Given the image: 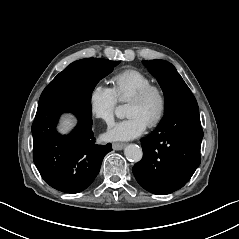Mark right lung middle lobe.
I'll list each match as a JSON object with an SVG mask.
<instances>
[{
  "instance_id": "obj_1",
  "label": "right lung middle lobe",
  "mask_w": 239,
  "mask_h": 239,
  "mask_svg": "<svg viewBox=\"0 0 239 239\" xmlns=\"http://www.w3.org/2000/svg\"><path fill=\"white\" fill-rule=\"evenodd\" d=\"M119 62L99 58H86L75 61L60 72L43 90L39 104L48 100L80 95L91 100L96 84Z\"/></svg>"
}]
</instances>
